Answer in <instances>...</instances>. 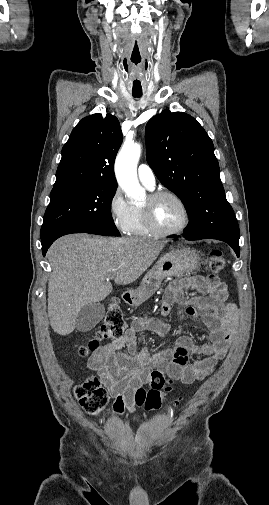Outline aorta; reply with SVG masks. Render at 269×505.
I'll return each mask as SVG.
<instances>
[{
  "instance_id": "obj_1",
  "label": "aorta",
  "mask_w": 269,
  "mask_h": 505,
  "mask_svg": "<svg viewBox=\"0 0 269 505\" xmlns=\"http://www.w3.org/2000/svg\"><path fill=\"white\" fill-rule=\"evenodd\" d=\"M141 155L139 143L124 144L115 161V175L119 186L129 200L141 202L146 197L145 189L137 178V164Z\"/></svg>"
}]
</instances>
